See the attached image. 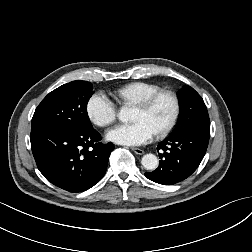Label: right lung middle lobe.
Instances as JSON below:
<instances>
[{
  "label": "right lung middle lobe",
  "instance_id": "obj_1",
  "mask_svg": "<svg viewBox=\"0 0 252 252\" xmlns=\"http://www.w3.org/2000/svg\"><path fill=\"white\" fill-rule=\"evenodd\" d=\"M93 93V85L80 80L53 90L36 108L32 118L31 132L92 129L87 114V103Z\"/></svg>",
  "mask_w": 252,
  "mask_h": 252
}]
</instances>
